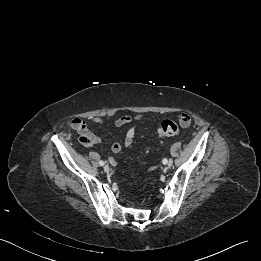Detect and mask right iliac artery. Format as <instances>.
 Instances as JSON below:
<instances>
[{"label":"right iliac artery","mask_w":261,"mask_h":261,"mask_svg":"<svg viewBox=\"0 0 261 261\" xmlns=\"http://www.w3.org/2000/svg\"><path fill=\"white\" fill-rule=\"evenodd\" d=\"M99 164H100L101 166H103V165L105 164V162L101 160V161L99 162Z\"/></svg>","instance_id":"right-iliac-artery-1"}]
</instances>
